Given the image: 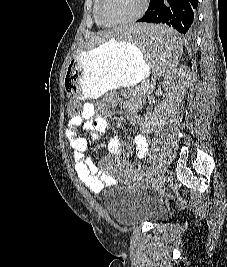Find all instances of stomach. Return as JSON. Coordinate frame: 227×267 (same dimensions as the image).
<instances>
[{"instance_id": "1", "label": "stomach", "mask_w": 227, "mask_h": 267, "mask_svg": "<svg viewBox=\"0 0 227 267\" xmlns=\"http://www.w3.org/2000/svg\"><path fill=\"white\" fill-rule=\"evenodd\" d=\"M150 68L140 47L113 38L73 57L65 82L60 83H65L67 96H75V101L96 99L109 90L137 85Z\"/></svg>"}]
</instances>
